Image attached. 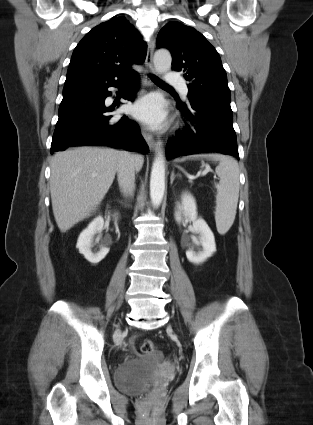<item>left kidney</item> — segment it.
Wrapping results in <instances>:
<instances>
[{
	"mask_svg": "<svg viewBox=\"0 0 313 425\" xmlns=\"http://www.w3.org/2000/svg\"><path fill=\"white\" fill-rule=\"evenodd\" d=\"M174 215L178 223H180L183 218L192 221L193 230L199 235L196 244H200L202 249L195 252L193 249L189 248L186 251L187 259L192 263L200 264L211 257L216 251L215 238L207 223L202 218H198L196 202L191 194L187 192L182 194L181 204L178 206Z\"/></svg>",
	"mask_w": 313,
	"mask_h": 425,
	"instance_id": "left-kidney-1",
	"label": "left kidney"
}]
</instances>
